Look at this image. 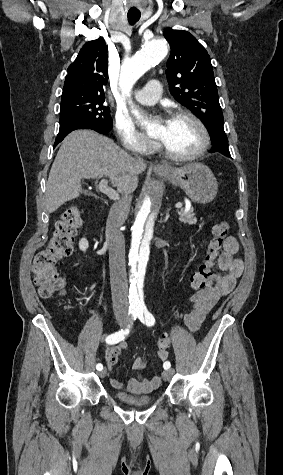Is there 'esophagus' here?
<instances>
[{
    "instance_id": "34e87169",
    "label": "esophagus",
    "mask_w": 283,
    "mask_h": 475,
    "mask_svg": "<svg viewBox=\"0 0 283 475\" xmlns=\"http://www.w3.org/2000/svg\"><path fill=\"white\" fill-rule=\"evenodd\" d=\"M154 170L162 171V172H168V167L165 165H161L160 163H155L153 166Z\"/></svg>"
}]
</instances>
